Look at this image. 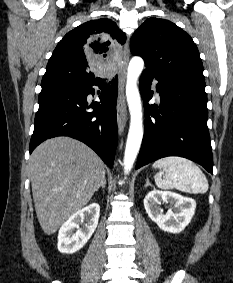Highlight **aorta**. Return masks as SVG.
Masks as SVG:
<instances>
[{
	"mask_svg": "<svg viewBox=\"0 0 233 283\" xmlns=\"http://www.w3.org/2000/svg\"><path fill=\"white\" fill-rule=\"evenodd\" d=\"M141 57H133L127 70L126 97L130 111V127L124 153V173L128 174L138 155L143 138L142 106L137 80L143 70Z\"/></svg>",
	"mask_w": 233,
	"mask_h": 283,
	"instance_id": "1",
	"label": "aorta"
}]
</instances>
